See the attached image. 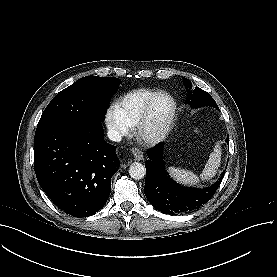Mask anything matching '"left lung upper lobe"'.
<instances>
[{"instance_id":"1","label":"left lung upper lobe","mask_w":277,"mask_h":277,"mask_svg":"<svg viewBox=\"0 0 277 277\" xmlns=\"http://www.w3.org/2000/svg\"><path fill=\"white\" fill-rule=\"evenodd\" d=\"M184 82L187 89H192L190 80L184 78ZM186 103L190 104L193 108L211 106L219 109L212 96L197 86L191 93L187 95Z\"/></svg>"}]
</instances>
